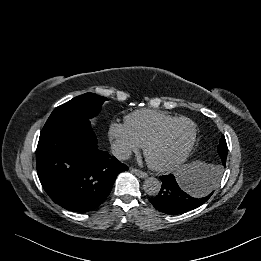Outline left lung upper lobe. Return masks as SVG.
Returning a JSON list of instances; mask_svg holds the SVG:
<instances>
[{
    "instance_id": "obj_1",
    "label": "left lung upper lobe",
    "mask_w": 261,
    "mask_h": 261,
    "mask_svg": "<svg viewBox=\"0 0 261 261\" xmlns=\"http://www.w3.org/2000/svg\"><path fill=\"white\" fill-rule=\"evenodd\" d=\"M218 153H219V156L221 157V159H226V157H227V144H226V140H225L224 136H222L220 141H219Z\"/></svg>"
}]
</instances>
